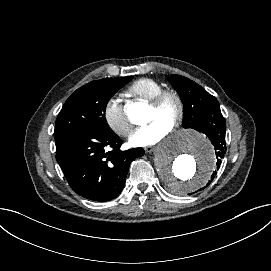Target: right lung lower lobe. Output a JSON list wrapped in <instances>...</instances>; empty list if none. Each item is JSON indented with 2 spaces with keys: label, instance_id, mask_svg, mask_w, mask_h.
Segmentation results:
<instances>
[{
  "label": "right lung lower lobe",
  "instance_id": "obj_1",
  "mask_svg": "<svg viewBox=\"0 0 271 271\" xmlns=\"http://www.w3.org/2000/svg\"><path fill=\"white\" fill-rule=\"evenodd\" d=\"M56 160L72 190L97 202L117 197L132 160L142 148L120 151L122 141L112 132L73 131L55 138ZM106 146L112 150L106 152Z\"/></svg>",
  "mask_w": 271,
  "mask_h": 271
}]
</instances>
